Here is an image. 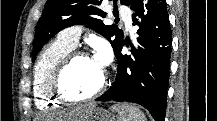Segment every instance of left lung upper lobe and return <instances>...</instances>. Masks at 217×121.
<instances>
[{
	"instance_id": "5c2ea615",
	"label": "left lung upper lobe",
	"mask_w": 217,
	"mask_h": 121,
	"mask_svg": "<svg viewBox=\"0 0 217 121\" xmlns=\"http://www.w3.org/2000/svg\"><path fill=\"white\" fill-rule=\"evenodd\" d=\"M103 0H47L42 15L35 29L32 61L55 34L62 29L82 24L103 35L110 41L114 52L123 41V31L116 25H105L100 18L106 16L99 6ZM111 1V0H109ZM114 15H118L116 0ZM129 6L132 0H120Z\"/></svg>"
}]
</instances>
